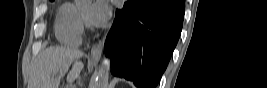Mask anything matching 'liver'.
Listing matches in <instances>:
<instances>
[{"label":"liver","mask_w":267,"mask_h":88,"mask_svg":"<svg viewBox=\"0 0 267 88\" xmlns=\"http://www.w3.org/2000/svg\"><path fill=\"white\" fill-rule=\"evenodd\" d=\"M84 53L70 47H49L42 51L33 63L28 88H59L60 79L69 70V82L74 81L84 65L78 59Z\"/></svg>","instance_id":"obj_1"}]
</instances>
